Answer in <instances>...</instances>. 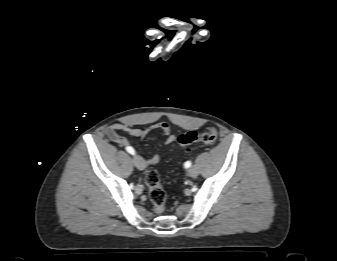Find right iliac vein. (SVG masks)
I'll list each match as a JSON object with an SVG mask.
<instances>
[{
	"instance_id": "obj_1",
	"label": "right iliac vein",
	"mask_w": 337,
	"mask_h": 261,
	"mask_svg": "<svg viewBox=\"0 0 337 261\" xmlns=\"http://www.w3.org/2000/svg\"><path fill=\"white\" fill-rule=\"evenodd\" d=\"M133 163L139 170L145 169V163H144V160L142 159V157H140L138 155L134 156Z\"/></svg>"
}]
</instances>
